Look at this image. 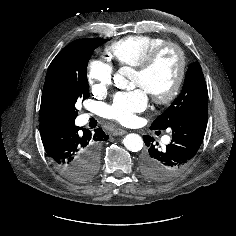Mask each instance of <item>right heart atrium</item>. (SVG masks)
Wrapping results in <instances>:
<instances>
[{
	"label": "right heart atrium",
	"instance_id": "right-heart-atrium-1",
	"mask_svg": "<svg viewBox=\"0 0 236 236\" xmlns=\"http://www.w3.org/2000/svg\"><path fill=\"white\" fill-rule=\"evenodd\" d=\"M114 68L102 58H92L86 68V79L92 91L97 94L105 92L112 83Z\"/></svg>",
	"mask_w": 236,
	"mask_h": 236
}]
</instances>
